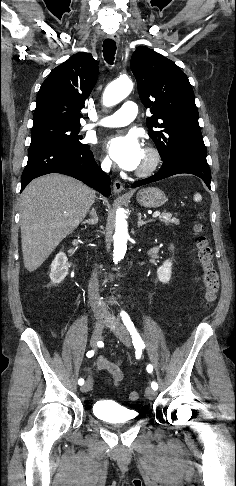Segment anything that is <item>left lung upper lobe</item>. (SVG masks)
I'll return each instance as SVG.
<instances>
[{"label":"left lung upper lobe","mask_w":236,"mask_h":486,"mask_svg":"<svg viewBox=\"0 0 236 486\" xmlns=\"http://www.w3.org/2000/svg\"><path fill=\"white\" fill-rule=\"evenodd\" d=\"M130 66L140 99L153 113L146 125L162 161L181 153L206 156L194 92L186 74L145 46L135 50Z\"/></svg>","instance_id":"obj_1"}]
</instances>
